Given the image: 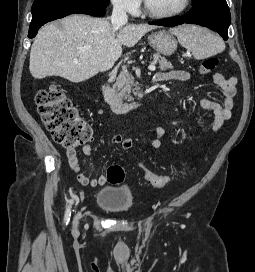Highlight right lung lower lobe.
Listing matches in <instances>:
<instances>
[{
  "label": "right lung lower lobe",
  "mask_w": 255,
  "mask_h": 272,
  "mask_svg": "<svg viewBox=\"0 0 255 272\" xmlns=\"http://www.w3.org/2000/svg\"><path fill=\"white\" fill-rule=\"evenodd\" d=\"M106 8L85 0H35L31 9L32 21L28 37H35L38 29L49 21L78 13L101 17Z\"/></svg>",
  "instance_id": "obj_1"
}]
</instances>
